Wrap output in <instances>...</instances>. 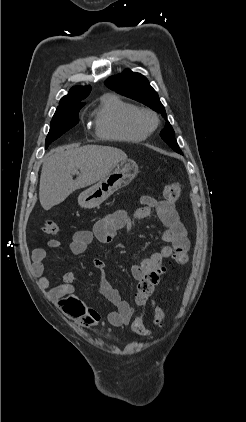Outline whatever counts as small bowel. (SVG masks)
Instances as JSON below:
<instances>
[{"label":"small bowel","mask_w":246,"mask_h":422,"mask_svg":"<svg viewBox=\"0 0 246 422\" xmlns=\"http://www.w3.org/2000/svg\"><path fill=\"white\" fill-rule=\"evenodd\" d=\"M142 206L129 215L124 210H117L99 219L90 230H79L74 233L70 243V250L74 255L83 254L88 245L97 240L101 243H110L116 233L125 228L131 231L135 223L147 218L152 210H155L160 221L166 226L162 234V240L167 243L159 251L153 253L149 258L131 267V272L136 280H140L146 273L161 266L163 260L175 255L178 252L187 253L189 240L187 232L171 200L159 201L152 196L141 198ZM60 241L52 239L48 242L51 249L59 248ZM46 250L37 248L32 253L33 272L39 278V285L48 290L49 298L56 303L71 319L84 327L90 328L99 324L101 316L99 312L84 304L75 295L77 286L75 276L72 272L63 275V283L53 286L50 279L45 276ZM93 265L100 271L98 292L108 299L115 310L107 314L108 321L115 327H121L130 323L133 309L127 301L121 298L119 291L114 288L103 275L105 263L99 258L93 260Z\"/></svg>","instance_id":"c3829d8e"}]
</instances>
